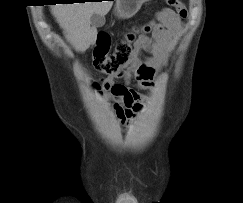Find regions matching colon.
<instances>
[{
	"label": "colon",
	"instance_id": "5ec220e1",
	"mask_svg": "<svg viewBox=\"0 0 243 203\" xmlns=\"http://www.w3.org/2000/svg\"><path fill=\"white\" fill-rule=\"evenodd\" d=\"M165 2L175 9L181 18L187 17V9L182 0H165ZM154 30L155 27L149 22L136 23L123 33L114 50H111L110 36L105 32L99 33L93 51L94 67L107 74H119L127 70L132 61V44L138 37L147 36ZM92 86L96 90L100 89L97 82H92Z\"/></svg>",
	"mask_w": 243,
	"mask_h": 203
}]
</instances>
